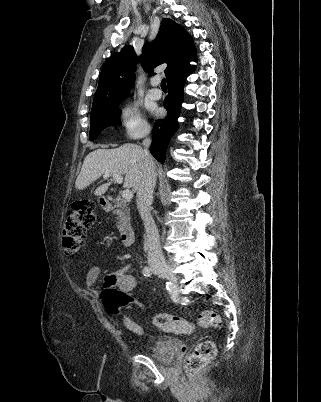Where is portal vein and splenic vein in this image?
<instances>
[{"mask_svg": "<svg viewBox=\"0 0 321 402\" xmlns=\"http://www.w3.org/2000/svg\"><path fill=\"white\" fill-rule=\"evenodd\" d=\"M110 176L111 175L109 173L104 174V178H109ZM112 177L118 184H121L123 182V178L120 174H113ZM122 197L125 200H130L133 197V192L130 189H125L122 192Z\"/></svg>", "mask_w": 321, "mask_h": 402, "instance_id": "obj_1", "label": "portal vein and splenic vein"}]
</instances>
